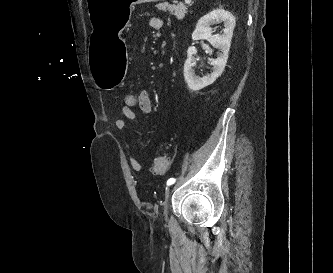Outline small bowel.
<instances>
[{"instance_id":"obj_1","label":"small bowel","mask_w":333,"mask_h":273,"mask_svg":"<svg viewBox=\"0 0 333 273\" xmlns=\"http://www.w3.org/2000/svg\"><path fill=\"white\" fill-rule=\"evenodd\" d=\"M150 25L153 29L162 30L165 27V22L156 16H153L150 21ZM137 107L140 111L149 116L153 112V106L150 98L149 91L147 89H141L137 94ZM121 115L131 121H138L139 116L133 111V109H123L121 108ZM115 127L119 130H122L127 127V123L123 119H118L114 123ZM127 150L129 154V163L131 168L137 172L141 173L143 171V165L139 162V160L134 156L131 151V146L127 143Z\"/></svg>"}]
</instances>
